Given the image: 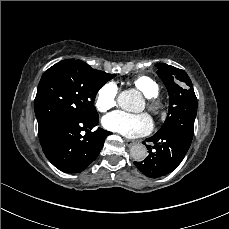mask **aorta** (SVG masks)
Returning <instances> with one entry per match:
<instances>
[{
  "instance_id": "1",
  "label": "aorta",
  "mask_w": 229,
  "mask_h": 229,
  "mask_svg": "<svg viewBox=\"0 0 229 229\" xmlns=\"http://www.w3.org/2000/svg\"><path fill=\"white\" fill-rule=\"evenodd\" d=\"M119 106L126 111L138 112L142 109L143 101L140 93L136 90L121 92L117 98ZM130 155L133 159L140 161L147 156V148L143 144H134L130 148Z\"/></svg>"
}]
</instances>
